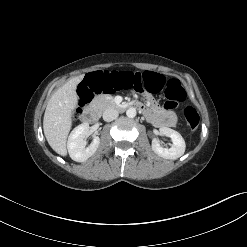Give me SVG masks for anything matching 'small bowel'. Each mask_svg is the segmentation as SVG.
<instances>
[{"label":"small bowel","mask_w":247,"mask_h":247,"mask_svg":"<svg viewBox=\"0 0 247 247\" xmlns=\"http://www.w3.org/2000/svg\"><path fill=\"white\" fill-rule=\"evenodd\" d=\"M144 105V113L155 127H174L176 125L177 115L172 107L166 105L161 108L152 101H148Z\"/></svg>","instance_id":"1"}]
</instances>
